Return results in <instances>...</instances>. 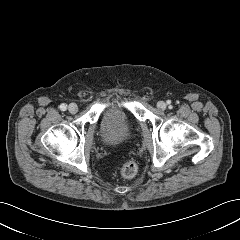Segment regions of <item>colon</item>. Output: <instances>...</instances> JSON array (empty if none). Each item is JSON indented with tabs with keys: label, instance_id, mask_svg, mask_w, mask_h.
Listing matches in <instances>:
<instances>
[{
	"label": "colon",
	"instance_id": "obj_1",
	"mask_svg": "<svg viewBox=\"0 0 240 240\" xmlns=\"http://www.w3.org/2000/svg\"><path fill=\"white\" fill-rule=\"evenodd\" d=\"M137 165L133 161H125L122 163L119 169V173L122 178L124 179H131L133 178L137 173Z\"/></svg>",
	"mask_w": 240,
	"mask_h": 240
}]
</instances>
